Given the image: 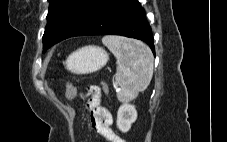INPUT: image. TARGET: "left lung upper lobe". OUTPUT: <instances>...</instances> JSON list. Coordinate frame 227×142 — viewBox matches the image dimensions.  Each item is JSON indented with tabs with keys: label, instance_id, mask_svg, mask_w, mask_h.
Returning a JSON list of instances; mask_svg holds the SVG:
<instances>
[{
	"label": "left lung upper lobe",
	"instance_id": "1",
	"mask_svg": "<svg viewBox=\"0 0 227 142\" xmlns=\"http://www.w3.org/2000/svg\"><path fill=\"white\" fill-rule=\"evenodd\" d=\"M47 25L43 49L71 37L110 0H48Z\"/></svg>",
	"mask_w": 227,
	"mask_h": 142
}]
</instances>
